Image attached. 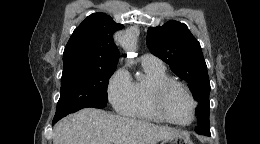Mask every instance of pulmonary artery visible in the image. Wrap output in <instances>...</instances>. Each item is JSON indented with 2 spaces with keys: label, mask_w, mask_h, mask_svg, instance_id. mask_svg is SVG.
Returning a JSON list of instances; mask_svg holds the SVG:
<instances>
[{
  "label": "pulmonary artery",
  "mask_w": 260,
  "mask_h": 144,
  "mask_svg": "<svg viewBox=\"0 0 260 144\" xmlns=\"http://www.w3.org/2000/svg\"><path fill=\"white\" fill-rule=\"evenodd\" d=\"M141 62L142 64L148 65L150 67L159 68V69L164 68L162 61L152 54H148V53L144 54L141 57Z\"/></svg>",
  "instance_id": "e3ab8cb5"
}]
</instances>
